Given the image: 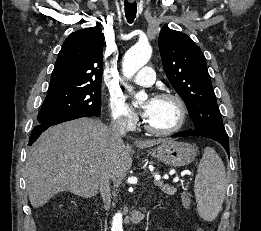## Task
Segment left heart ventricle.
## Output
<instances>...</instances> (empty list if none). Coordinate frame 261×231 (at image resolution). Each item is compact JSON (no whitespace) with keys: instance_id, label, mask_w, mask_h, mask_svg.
<instances>
[{"instance_id":"b2bd125f","label":"left heart ventricle","mask_w":261,"mask_h":231,"mask_svg":"<svg viewBox=\"0 0 261 231\" xmlns=\"http://www.w3.org/2000/svg\"><path fill=\"white\" fill-rule=\"evenodd\" d=\"M178 118L179 112L176 103L171 99L160 98L154 99L148 114L145 116L149 125L161 130L173 127L178 122Z\"/></svg>"}]
</instances>
